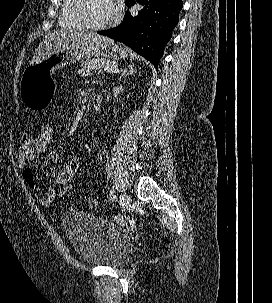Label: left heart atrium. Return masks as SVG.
Instances as JSON below:
<instances>
[{
	"instance_id": "left-heart-atrium-1",
	"label": "left heart atrium",
	"mask_w": 272,
	"mask_h": 303,
	"mask_svg": "<svg viewBox=\"0 0 272 303\" xmlns=\"http://www.w3.org/2000/svg\"><path fill=\"white\" fill-rule=\"evenodd\" d=\"M112 2H113L114 14L117 15L120 11V0H112Z\"/></svg>"
}]
</instances>
